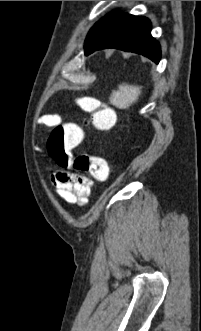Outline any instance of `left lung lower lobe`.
I'll return each instance as SVG.
<instances>
[{
    "mask_svg": "<svg viewBox=\"0 0 201 331\" xmlns=\"http://www.w3.org/2000/svg\"><path fill=\"white\" fill-rule=\"evenodd\" d=\"M150 32L151 23L147 18L113 11L103 17L87 36L85 55L100 49L116 48L142 54L158 64L160 45Z\"/></svg>",
    "mask_w": 201,
    "mask_h": 331,
    "instance_id": "obj_1",
    "label": "left lung lower lobe"
}]
</instances>
